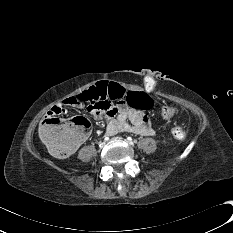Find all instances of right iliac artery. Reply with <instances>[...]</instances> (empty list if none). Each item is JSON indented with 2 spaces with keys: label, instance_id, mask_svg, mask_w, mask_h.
Here are the masks:
<instances>
[{
  "label": "right iliac artery",
  "instance_id": "obj_1",
  "mask_svg": "<svg viewBox=\"0 0 233 233\" xmlns=\"http://www.w3.org/2000/svg\"><path fill=\"white\" fill-rule=\"evenodd\" d=\"M104 140H105V141H108V140H109V137H108V136H105V137H104Z\"/></svg>",
  "mask_w": 233,
  "mask_h": 233
}]
</instances>
